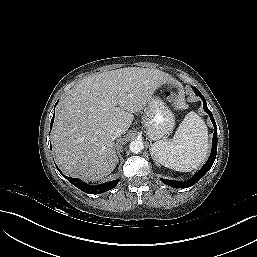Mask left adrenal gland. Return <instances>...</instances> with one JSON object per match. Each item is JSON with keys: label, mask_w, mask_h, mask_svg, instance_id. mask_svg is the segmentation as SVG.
Wrapping results in <instances>:
<instances>
[{"label": "left adrenal gland", "mask_w": 257, "mask_h": 257, "mask_svg": "<svg viewBox=\"0 0 257 257\" xmlns=\"http://www.w3.org/2000/svg\"><path fill=\"white\" fill-rule=\"evenodd\" d=\"M151 157H152V159L155 161V158H153V155H152V153H151Z\"/></svg>", "instance_id": "a2214340"}]
</instances>
